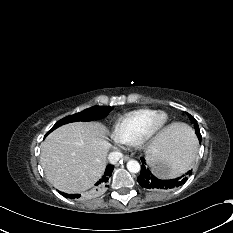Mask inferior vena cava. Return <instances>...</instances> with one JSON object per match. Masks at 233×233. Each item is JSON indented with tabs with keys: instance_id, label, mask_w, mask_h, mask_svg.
<instances>
[{
	"instance_id": "obj_1",
	"label": "inferior vena cava",
	"mask_w": 233,
	"mask_h": 233,
	"mask_svg": "<svg viewBox=\"0 0 233 233\" xmlns=\"http://www.w3.org/2000/svg\"><path fill=\"white\" fill-rule=\"evenodd\" d=\"M122 158V153L119 151L111 152L108 156V160L111 164H116Z\"/></svg>"
}]
</instances>
